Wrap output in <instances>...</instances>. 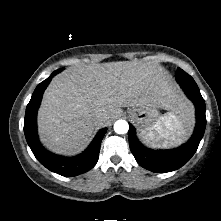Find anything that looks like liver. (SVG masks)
Here are the masks:
<instances>
[{
    "instance_id": "6515ba94",
    "label": "liver",
    "mask_w": 221,
    "mask_h": 221,
    "mask_svg": "<svg viewBox=\"0 0 221 221\" xmlns=\"http://www.w3.org/2000/svg\"><path fill=\"white\" fill-rule=\"evenodd\" d=\"M157 106L175 114L192 110L163 69L119 61L71 67L55 76L38 111L40 140L50 151L66 156L82 152L95 127L108 125L120 107ZM103 113L105 120L96 122Z\"/></svg>"
}]
</instances>
